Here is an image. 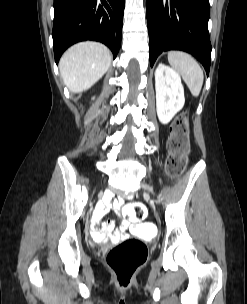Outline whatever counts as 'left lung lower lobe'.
<instances>
[{"instance_id":"0a47b994","label":"left lung lower lobe","mask_w":247,"mask_h":304,"mask_svg":"<svg viewBox=\"0 0 247 304\" xmlns=\"http://www.w3.org/2000/svg\"><path fill=\"white\" fill-rule=\"evenodd\" d=\"M209 0H147L150 65L163 51L191 53L204 66L211 63Z\"/></svg>"}]
</instances>
